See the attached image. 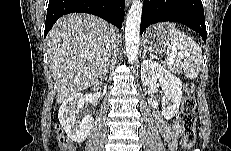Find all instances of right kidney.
<instances>
[{"label": "right kidney", "mask_w": 231, "mask_h": 151, "mask_svg": "<svg viewBox=\"0 0 231 151\" xmlns=\"http://www.w3.org/2000/svg\"><path fill=\"white\" fill-rule=\"evenodd\" d=\"M94 94L88 92L85 95L76 93L63 101L59 108L58 118L61 126L68 135V137L77 143H82L89 135L93 124V117L86 115L82 120H77V113L83 109L86 101L92 102Z\"/></svg>", "instance_id": "obj_1"}]
</instances>
